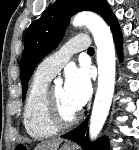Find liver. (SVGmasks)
Here are the masks:
<instances>
[{
    "instance_id": "obj_1",
    "label": "liver",
    "mask_w": 139,
    "mask_h": 150,
    "mask_svg": "<svg viewBox=\"0 0 139 150\" xmlns=\"http://www.w3.org/2000/svg\"><path fill=\"white\" fill-rule=\"evenodd\" d=\"M61 139L46 140L38 144L34 150H58Z\"/></svg>"
}]
</instances>
